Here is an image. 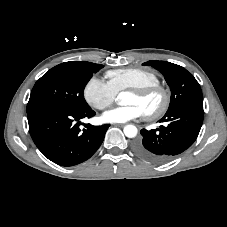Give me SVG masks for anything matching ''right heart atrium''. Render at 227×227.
Instances as JSON below:
<instances>
[{"instance_id":"right-heart-atrium-1","label":"right heart atrium","mask_w":227,"mask_h":227,"mask_svg":"<svg viewBox=\"0 0 227 227\" xmlns=\"http://www.w3.org/2000/svg\"><path fill=\"white\" fill-rule=\"evenodd\" d=\"M83 96L91 107L104 110L114 102L116 93L107 82L92 77L84 86Z\"/></svg>"}]
</instances>
